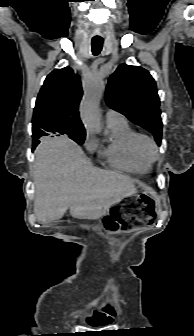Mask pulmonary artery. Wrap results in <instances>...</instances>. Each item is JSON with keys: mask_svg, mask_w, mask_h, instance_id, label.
<instances>
[{"mask_svg": "<svg viewBox=\"0 0 194 336\" xmlns=\"http://www.w3.org/2000/svg\"><path fill=\"white\" fill-rule=\"evenodd\" d=\"M105 120L108 126L122 124L126 122L124 116L120 114L119 112L108 109L105 113Z\"/></svg>", "mask_w": 194, "mask_h": 336, "instance_id": "e3ab8cb5", "label": "pulmonary artery"}]
</instances>
